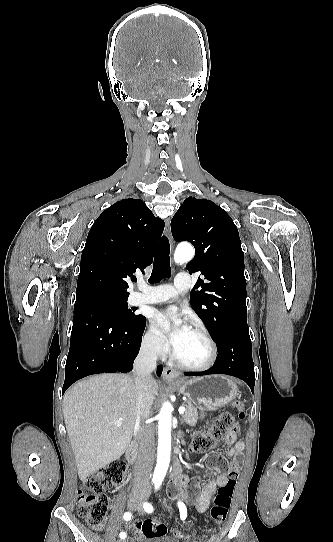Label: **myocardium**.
Returning <instances> with one entry per match:
<instances>
[{
	"mask_svg": "<svg viewBox=\"0 0 333 542\" xmlns=\"http://www.w3.org/2000/svg\"><path fill=\"white\" fill-rule=\"evenodd\" d=\"M193 330H195L198 334H200L209 344L210 347V357L209 360L202 365H191L187 364L181 360H179L171 351V349L168 350L167 354L169 359L172 363H174L177 367L191 372H205L209 369H211L218 358V346L212 335L208 332V330L201 325H194L192 327Z\"/></svg>",
	"mask_w": 333,
	"mask_h": 542,
	"instance_id": "myocardium-1",
	"label": "myocardium"
}]
</instances>
